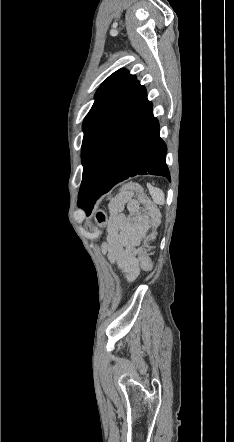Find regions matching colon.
I'll use <instances>...</instances> for the list:
<instances>
[{"instance_id": "1", "label": "colon", "mask_w": 234, "mask_h": 442, "mask_svg": "<svg viewBox=\"0 0 234 442\" xmlns=\"http://www.w3.org/2000/svg\"><path fill=\"white\" fill-rule=\"evenodd\" d=\"M132 194L138 196L147 216L146 230L143 237L145 239V246L148 247L152 240L153 230L158 226L160 222V212L156 204L144 194L142 187L136 182H127L123 184L113 200L125 198ZM96 220L100 225H103L106 221V215L102 211H98L96 213ZM140 259H142V261L140 262V267L143 268L144 273H151V267L153 266V263L151 262L150 254L145 253L143 254V256H140Z\"/></svg>"}]
</instances>
